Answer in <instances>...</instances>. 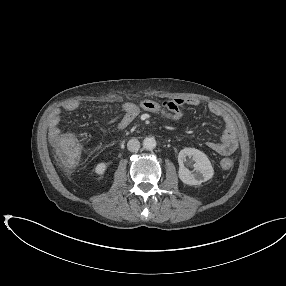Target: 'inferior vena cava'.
<instances>
[{
  "label": "inferior vena cava",
  "mask_w": 286,
  "mask_h": 286,
  "mask_svg": "<svg viewBox=\"0 0 286 286\" xmlns=\"http://www.w3.org/2000/svg\"><path fill=\"white\" fill-rule=\"evenodd\" d=\"M127 148L130 152H137L140 148V142L137 139H130Z\"/></svg>",
  "instance_id": "1"
}]
</instances>
